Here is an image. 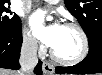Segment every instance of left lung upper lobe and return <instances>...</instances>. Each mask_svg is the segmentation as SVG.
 <instances>
[{
	"label": "left lung upper lobe",
	"mask_w": 102,
	"mask_h": 75,
	"mask_svg": "<svg viewBox=\"0 0 102 75\" xmlns=\"http://www.w3.org/2000/svg\"><path fill=\"white\" fill-rule=\"evenodd\" d=\"M68 11L78 20L87 37L102 33L101 0H64Z\"/></svg>",
	"instance_id": "left-lung-upper-lobe-1"
}]
</instances>
